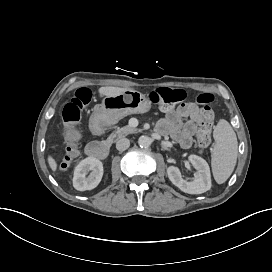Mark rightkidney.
<instances>
[{
	"label": "right kidney",
	"instance_id": "ca27d5eb",
	"mask_svg": "<svg viewBox=\"0 0 272 272\" xmlns=\"http://www.w3.org/2000/svg\"><path fill=\"white\" fill-rule=\"evenodd\" d=\"M102 176V162L94 157H87L75 167L73 186L79 191L92 190L100 183Z\"/></svg>",
	"mask_w": 272,
	"mask_h": 272
}]
</instances>
